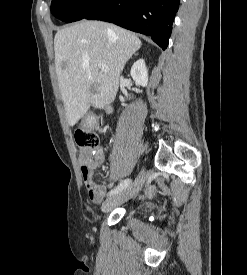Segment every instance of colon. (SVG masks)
Returning a JSON list of instances; mask_svg holds the SVG:
<instances>
[{"instance_id": "obj_1", "label": "colon", "mask_w": 247, "mask_h": 275, "mask_svg": "<svg viewBox=\"0 0 247 275\" xmlns=\"http://www.w3.org/2000/svg\"><path fill=\"white\" fill-rule=\"evenodd\" d=\"M75 142L82 150L81 161L86 163L93 158V152L98 146L99 137L95 132L80 128L75 132Z\"/></svg>"}]
</instances>
